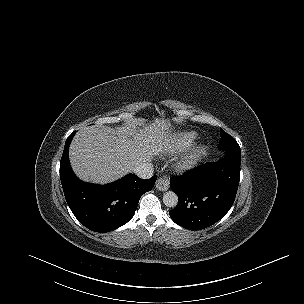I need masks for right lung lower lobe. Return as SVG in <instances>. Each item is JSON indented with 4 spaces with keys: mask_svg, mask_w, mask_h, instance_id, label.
I'll return each instance as SVG.
<instances>
[{
    "mask_svg": "<svg viewBox=\"0 0 304 304\" xmlns=\"http://www.w3.org/2000/svg\"><path fill=\"white\" fill-rule=\"evenodd\" d=\"M75 133L67 138L60 162V179L66 201L74 216L88 229L96 232L115 230L134 216L140 197L153 188L157 176L143 180L128 174L106 185L80 181L73 173L68 157Z\"/></svg>",
    "mask_w": 304,
    "mask_h": 304,
    "instance_id": "1",
    "label": "right lung lower lobe"
}]
</instances>
